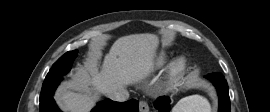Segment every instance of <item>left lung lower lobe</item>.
<instances>
[{
	"mask_svg": "<svg viewBox=\"0 0 270 112\" xmlns=\"http://www.w3.org/2000/svg\"><path fill=\"white\" fill-rule=\"evenodd\" d=\"M216 87L219 96V112H230V98L228 92V84L224 76L219 73H212L205 76ZM155 108L159 112H169V98L159 97L154 102Z\"/></svg>",
	"mask_w": 270,
	"mask_h": 112,
	"instance_id": "0a47b994",
	"label": "left lung lower lobe"
}]
</instances>
